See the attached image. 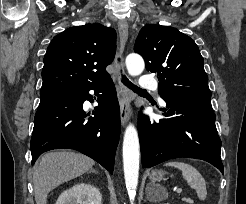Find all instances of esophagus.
Listing matches in <instances>:
<instances>
[{
    "instance_id": "1",
    "label": "esophagus",
    "mask_w": 246,
    "mask_h": 204,
    "mask_svg": "<svg viewBox=\"0 0 246 204\" xmlns=\"http://www.w3.org/2000/svg\"><path fill=\"white\" fill-rule=\"evenodd\" d=\"M118 31L120 37V52L124 51L127 37H128V23L125 20L118 22ZM119 93H120V119L122 126H125L131 115V97L126 87L121 83L120 77L118 78Z\"/></svg>"
}]
</instances>
